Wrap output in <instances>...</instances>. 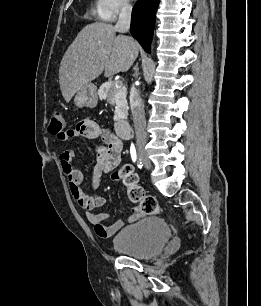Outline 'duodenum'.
<instances>
[{
    "label": "duodenum",
    "instance_id": "duodenum-1",
    "mask_svg": "<svg viewBox=\"0 0 261 306\" xmlns=\"http://www.w3.org/2000/svg\"><path fill=\"white\" fill-rule=\"evenodd\" d=\"M115 129H116L117 134L122 139H129L132 134L131 125L126 120H118L115 124Z\"/></svg>",
    "mask_w": 261,
    "mask_h": 306
}]
</instances>
